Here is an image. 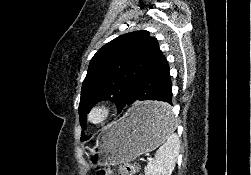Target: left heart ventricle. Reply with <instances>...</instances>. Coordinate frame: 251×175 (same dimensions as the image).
<instances>
[{"instance_id": "left-heart-ventricle-1", "label": "left heart ventricle", "mask_w": 251, "mask_h": 175, "mask_svg": "<svg viewBox=\"0 0 251 175\" xmlns=\"http://www.w3.org/2000/svg\"><path fill=\"white\" fill-rule=\"evenodd\" d=\"M102 116H103V113L101 111H96L93 114V119L98 121V120H100L102 118Z\"/></svg>"}]
</instances>
